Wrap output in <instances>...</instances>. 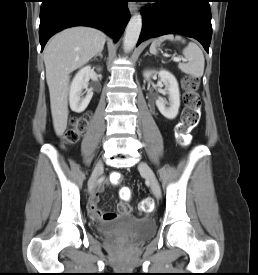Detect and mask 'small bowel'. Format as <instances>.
I'll return each mask as SVG.
<instances>
[{
  "label": "small bowel",
  "mask_w": 258,
  "mask_h": 275,
  "mask_svg": "<svg viewBox=\"0 0 258 275\" xmlns=\"http://www.w3.org/2000/svg\"><path fill=\"white\" fill-rule=\"evenodd\" d=\"M104 187H105V182L104 181L100 182L97 185L95 194L92 196V198L90 200L89 210L94 217H97V218L101 217L104 219H114L118 213L126 214L131 211V205L125 200L121 201L118 204L117 212H112V211L102 212L101 210H99V208H98V198L99 197L98 196H99V193H101L103 191Z\"/></svg>",
  "instance_id": "obj_1"
}]
</instances>
